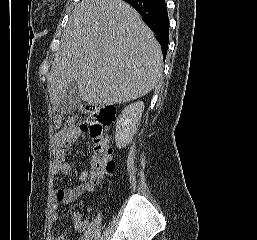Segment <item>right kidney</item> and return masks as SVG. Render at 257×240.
Here are the masks:
<instances>
[{
  "label": "right kidney",
  "instance_id": "obj_1",
  "mask_svg": "<svg viewBox=\"0 0 257 240\" xmlns=\"http://www.w3.org/2000/svg\"><path fill=\"white\" fill-rule=\"evenodd\" d=\"M143 110L144 103L138 101L124 108L119 115L115 132V142L118 148L126 147L132 141L140 123Z\"/></svg>",
  "mask_w": 257,
  "mask_h": 240
}]
</instances>
